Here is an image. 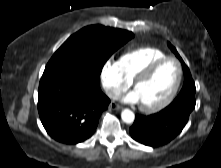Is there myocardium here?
<instances>
[{
    "label": "myocardium",
    "mask_w": 221,
    "mask_h": 168,
    "mask_svg": "<svg viewBox=\"0 0 221 168\" xmlns=\"http://www.w3.org/2000/svg\"><path fill=\"white\" fill-rule=\"evenodd\" d=\"M167 61H173L177 64L178 67V77L176 80V83L174 85V87L172 88V90L170 91V93L160 102L154 104V105H140L141 109L145 112L148 113H152V112H157L163 108H165L166 106H168L173 99L175 98L181 83H182V79H183V68H182V64L181 62L172 56H166L163 57L161 59H158L154 62H152L151 64H149L146 68H144L139 74H137L134 79L132 80V87L133 89H135V87L141 83L142 81L146 80L147 78H149L151 76V74L163 63L167 62Z\"/></svg>",
    "instance_id": "myocardium-1"
}]
</instances>
